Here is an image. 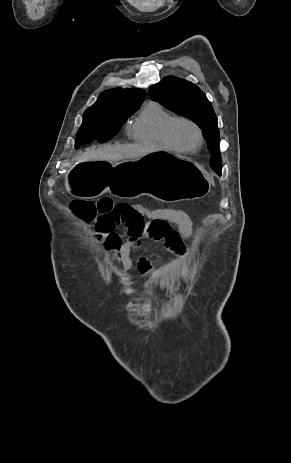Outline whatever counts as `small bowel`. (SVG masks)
I'll return each instance as SVG.
<instances>
[{"label":"small bowel","instance_id":"small-bowel-1","mask_svg":"<svg viewBox=\"0 0 291 463\" xmlns=\"http://www.w3.org/2000/svg\"><path fill=\"white\" fill-rule=\"evenodd\" d=\"M127 239L123 240L121 234L115 229H101L91 235L94 243H103L104 248L112 252L114 260L124 270L134 264L131 259L132 251L139 248L144 238L153 241H163L166 247L178 258L186 260L189 250L184 238L190 237L192 225L189 217L181 210L170 208L144 209L138 205H131V212L125 220ZM178 227L175 230L171 227ZM137 267L141 274L151 278H164L165 274L155 269L146 256H140Z\"/></svg>","mask_w":291,"mask_h":463}]
</instances>
